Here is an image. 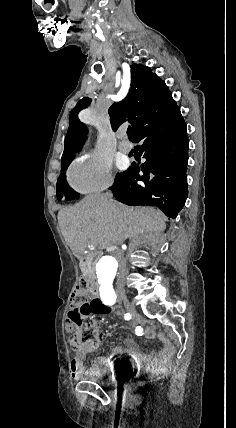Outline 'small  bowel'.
<instances>
[{
  "label": "small bowel",
  "instance_id": "small-bowel-1",
  "mask_svg": "<svg viewBox=\"0 0 236 428\" xmlns=\"http://www.w3.org/2000/svg\"><path fill=\"white\" fill-rule=\"evenodd\" d=\"M135 333L137 335L144 336L149 341L156 337V333L149 327H135ZM158 336L164 343V348L149 355L141 353L131 339H126V351L131 356L133 362L138 367L143 368L146 371H156L173 353V346L169 339H167L162 333ZM99 338L103 340L105 335L100 334ZM122 352H124V349L121 347L114 348L111 355L99 359V364L112 366L114 363V356ZM85 358V352H78L72 360L71 372L74 377H78L83 372L85 368Z\"/></svg>",
  "mask_w": 236,
  "mask_h": 428
}]
</instances>
